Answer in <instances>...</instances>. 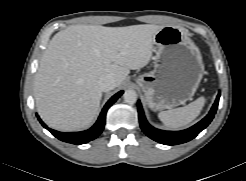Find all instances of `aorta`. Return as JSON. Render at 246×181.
Here are the masks:
<instances>
[{"label": "aorta", "mask_w": 246, "mask_h": 181, "mask_svg": "<svg viewBox=\"0 0 246 181\" xmlns=\"http://www.w3.org/2000/svg\"><path fill=\"white\" fill-rule=\"evenodd\" d=\"M124 101L128 104H134L137 101V93L133 89H128L123 94Z\"/></svg>", "instance_id": "obj_1"}]
</instances>
